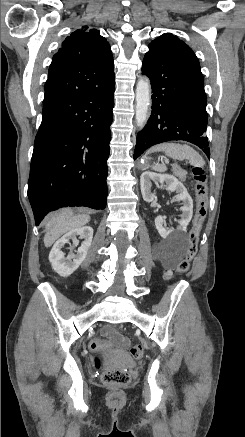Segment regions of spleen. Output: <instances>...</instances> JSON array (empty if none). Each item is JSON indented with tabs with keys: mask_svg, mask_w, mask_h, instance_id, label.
<instances>
[{
	"mask_svg": "<svg viewBox=\"0 0 245 437\" xmlns=\"http://www.w3.org/2000/svg\"><path fill=\"white\" fill-rule=\"evenodd\" d=\"M163 151L167 156L177 160H189L190 164L196 167H202L205 164L202 156L191 146L187 144H179L174 142H166L151 147L145 154L146 159L148 154ZM152 169L164 172L167 170L166 165L156 163L152 166Z\"/></svg>",
	"mask_w": 245,
	"mask_h": 437,
	"instance_id": "spleen-1",
	"label": "spleen"
}]
</instances>
